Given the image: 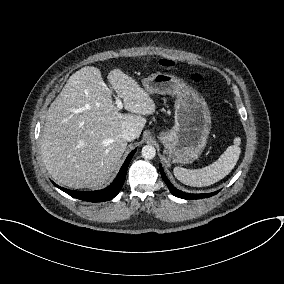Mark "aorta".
Segmentation results:
<instances>
[{
	"instance_id": "1",
	"label": "aorta",
	"mask_w": 284,
	"mask_h": 284,
	"mask_svg": "<svg viewBox=\"0 0 284 284\" xmlns=\"http://www.w3.org/2000/svg\"><path fill=\"white\" fill-rule=\"evenodd\" d=\"M142 157L146 160H151L156 155V149L152 145H145L141 151Z\"/></svg>"
}]
</instances>
